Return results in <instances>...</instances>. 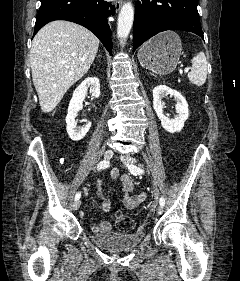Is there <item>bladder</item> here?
Wrapping results in <instances>:
<instances>
[{
	"mask_svg": "<svg viewBox=\"0 0 240 281\" xmlns=\"http://www.w3.org/2000/svg\"><path fill=\"white\" fill-rule=\"evenodd\" d=\"M144 238L141 231L114 232L91 234V241L98 247L110 252L128 251L137 247Z\"/></svg>",
	"mask_w": 240,
	"mask_h": 281,
	"instance_id": "1",
	"label": "bladder"
}]
</instances>
